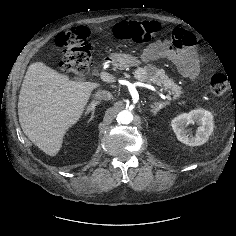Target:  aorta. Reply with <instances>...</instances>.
I'll list each match as a JSON object with an SVG mask.
<instances>
[{
  "label": "aorta",
  "mask_w": 236,
  "mask_h": 236,
  "mask_svg": "<svg viewBox=\"0 0 236 236\" xmlns=\"http://www.w3.org/2000/svg\"><path fill=\"white\" fill-rule=\"evenodd\" d=\"M133 121V115L129 110H123L117 115V122L119 124L127 125Z\"/></svg>",
  "instance_id": "aorta-1"
}]
</instances>
